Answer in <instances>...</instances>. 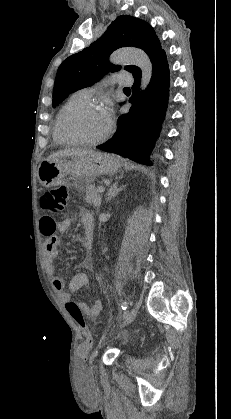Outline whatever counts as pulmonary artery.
<instances>
[{
  "mask_svg": "<svg viewBox=\"0 0 231 419\" xmlns=\"http://www.w3.org/2000/svg\"><path fill=\"white\" fill-rule=\"evenodd\" d=\"M110 83H117L119 85L130 86L133 83V79L130 75H127V74H116V75H113L111 78H109V79H107V80H105L101 83H98V84L93 85V86L85 87V88L79 90V92L86 99L89 100L96 91L102 89L104 86H106L107 84H110Z\"/></svg>",
  "mask_w": 231,
  "mask_h": 419,
  "instance_id": "pulmonary-artery-1",
  "label": "pulmonary artery"
}]
</instances>
